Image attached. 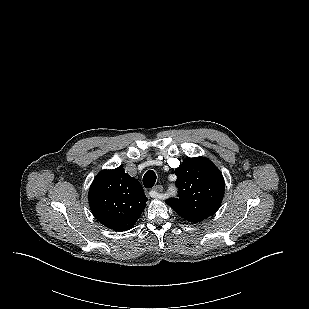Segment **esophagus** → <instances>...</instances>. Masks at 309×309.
Here are the masks:
<instances>
[{"mask_svg": "<svg viewBox=\"0 0 309 309\" xmlns=\"http://www.w3.org/2000/svg\"><path fill=\"white\" fill-rule=\"evenodd\" d=\"M161 192H163V186H161V185H156V186L152 189V197L161 199V198H162Z\"/></svg>", "mask_w": 309, "mask_h": 309, "instance_id": "34e87169", "label": "esophagus"}]
</instances>
